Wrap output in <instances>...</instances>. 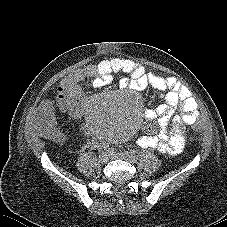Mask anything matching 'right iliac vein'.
<instances>
[{
  "label": "right iliac vein",
  "mask_w": 227,
  "mask_h": 227,
  "mask_svg": "<svg viewBox=\"0 0 227 227\" xmlns=\"http://www.w3.org/2000/svg\"><path fill=\"white\" fill-rule=\"evenodd\" d=\"M109 160V157L106 153H102L100 156H99V162L102 163V164H105L107 163Z\"/></svg>",
  "instance_id": "obj_1"
}]
</instances>
